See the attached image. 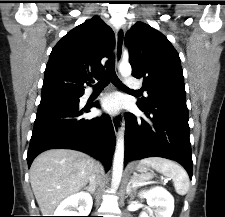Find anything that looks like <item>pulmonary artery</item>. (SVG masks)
<instances>
[{
	"mask_svg": "<svg viewBox=\"0 0 225 217\" xmlns=\"http://www.w3.org/2000/svg\"><path fill=\"white\" fill-rule=\"evenodd\" d=\"M127 85L130 88H132V89H138V88H140V85L137 82H135L134 80H132V79H128L127 80ZM92 92H93V90L92 89H89L87 91V95H90Z\"/></svg>",
	"mask_w": 225,
	"mask_h": 217,
	"instance_id": "obj_1",
	"label": "pulmonary artery"
}]
</instances>
